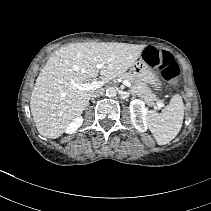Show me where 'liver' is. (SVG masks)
Masks as SVG:
<instances>
[{
	"label": "liver",
	"instance_id": "6515ba94",
	"mask_svg": "<svg viewBox=\"0 0 211 211\" xmlns=\"http://www.w3.org/2000/svg\"><path fill=\"white\" fill-rule=\"evenodd\" d=\"M145 47L118 42H84L55 51L39 73L31 94L30 108L38 132L56 139L82 114L96 89L78 90L72 82H89L100 72L102 81L108 83L125 73ZM98 64H103L101 69L97 68Z\"/></svg>",
	"mask_w": 211,
	"mask_h": 211
}]
</instances>
